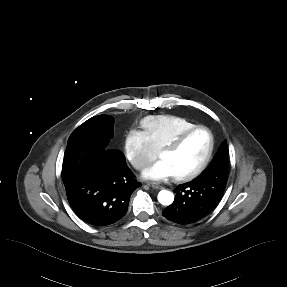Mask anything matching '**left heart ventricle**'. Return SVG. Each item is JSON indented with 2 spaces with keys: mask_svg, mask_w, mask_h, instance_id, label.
<instances>
[{
  "mask_svg": "<svg viewBox=\"0 0 287 287\" xmlns=\"http://www.w3.org/2000/svg\"><path fill=\"white\" fill-rule=\"evenodd\" d=\"M209 148V136L206 131L193 133L183 145L172 152H164L160 158L168 164L174 177L187 174L198 167Z\"/></svg>",
  "mask_w": 287,
  "mask_h": 287,
  "instance_id": "obj_1",
  "label": "left heart ventricle"
}]
</instances>
